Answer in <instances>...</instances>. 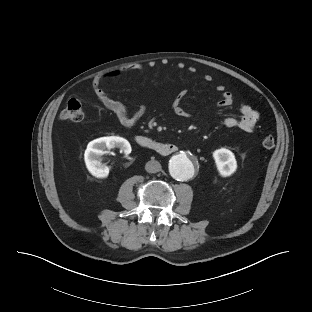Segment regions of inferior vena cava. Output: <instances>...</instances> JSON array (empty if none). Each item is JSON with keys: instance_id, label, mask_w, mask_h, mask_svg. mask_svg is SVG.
<instances>
[{"instance_id": "inferior-vena-cava-1", "label": "inferior vena cava", "mask_w": 312, "mask_h": 312, "mask_svg": "<svg viewBox=\"0 0 312 312\" xmlns=\"http://www.w3.org/2000/svg\"><path fill=\"white\" fill-rule=\"evenodd\" d=\"M145 170L148 173H157L161 170V164L156 160H150L146 163Z\"/></svg>"}]
</instances>
